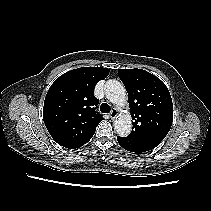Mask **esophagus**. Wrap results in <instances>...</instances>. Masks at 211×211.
Segmentation results:
<instances>
[{
	"instance_id": "1",
	"label": "esophagus",
	"mask_w": 211,
	"mask_h": 211,
	"mask_svg": "<svg viewBox=\"0 0 211 211\" xmlns=\"http://www.w3.org/2000/svg\"><path fill=\"white\" fill-rule=\"evenodd\" d=\"M118 115V110L117 109H112V111L110 112L109 116L111 119H115Z\"/></svg>"
}]
</instances>
